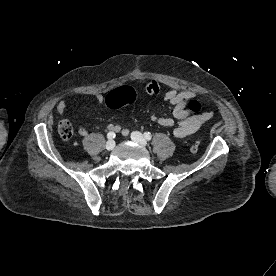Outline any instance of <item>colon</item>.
<instances>
[{
  "label": "colon",
  "mask_w": 276,
  "mask_h": 276,
  "mask_svg": "<svg viewBox=\"0 0 276 276\" xmlns=\"http://www.w3.org/2000/svg\"><path fill=\"white\" fill-rule=\"evenodd\" d=\"M144 92L148 95L155 92L153 88H144ZM136 98V91L131 87H123L118 90L111 91L106 98V103L112 108L119 107L123 104L131 103ZM188 108L195 113H200L202 110L201 104L197 100H189ZM58 132L64 140H70L74 134V128L67 120H61L58 123ZM199 150V143L193 142L190 146V151L195 153Z\"/></svg>",
  "instance_id": "colon-1"
}]
</instances>
